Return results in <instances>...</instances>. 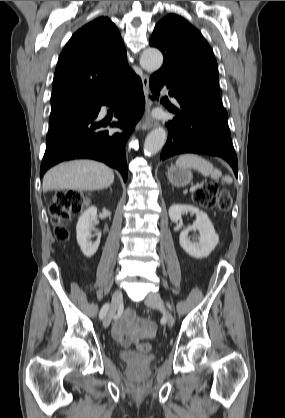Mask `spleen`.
Masks as SVG:
<instances>
[{
    "mask_svg": "<svg viewBox=\"0 0 285 418\" xmlns=\"http://www.w3.org/2000/svg\"><path fill=\"white\" fill-rule=\"evenodd\" d=\"M176 165L183 168H192L202 175L210 176L214 179L222 177L221 171L214 168L211 162L196 154H183L179 156L176 160ZM222 180L226 183H232L233 181L230 176H224Z\"/></svg>",
    "mask_w": 285,
    "mask_h": 418,
    "instance_id": "spleen-1",
    "label": "spleen"
}]
</instances>
